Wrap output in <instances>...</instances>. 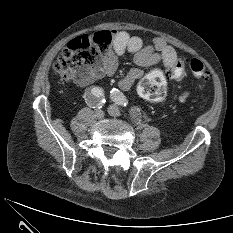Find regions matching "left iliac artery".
<instances>
[{
	"instance_id": "obj_1",
	"label": "left iliac artery",
	"mask_w": 233,
	"mask_h": 233,
	"mask_svg": "<svg viewBox=\"0 0 233 233\" xmlns=\"http://www.w3.org/2000/svg\"><path fill=\"white\" fill-rule=\"evenodd\" d=\"M111 98L116 104H118L120 106H126L127 103H128L127 99L123 95V93L120 92L118 89H115V88L112 89V91H111Z\"/></svg>"
}]
</instances>
